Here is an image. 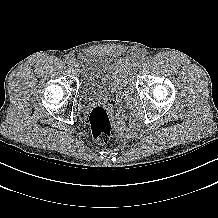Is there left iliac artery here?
<instances>
[{"label":"left iliac artery","mask_w":218,"mask_h":218,"mask_svg":"<svg viewBox=\"0 0 218 218\" xmlns=\"http://www.w3.org/2000/svg\"><path fill=\"white\" fill-rule=\"evenodd\" d=\"M143 64H145L148 61V56L146 54H143L141 56V60H140Z\"/></svg>","instance_id":"1"}]
</instances>
